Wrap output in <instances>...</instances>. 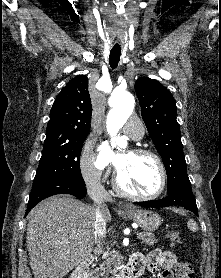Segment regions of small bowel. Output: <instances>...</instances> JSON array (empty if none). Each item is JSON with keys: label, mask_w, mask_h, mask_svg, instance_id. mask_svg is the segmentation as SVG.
Instances as JSON below:
<instances>
[{"label": "small bowel", "mask_w": 221, "mask_h": 278, "mask_svg": "<svg viewBox=\"0 0 221 278\" xmlns=\"http://www.w3.org/2000/svg\"><path fill=\"white\" fill-rule=\"evenodd\" d=\"M134 260L141 270L147 268L152 273L151 278H155V274L158 278H174L173 270H176L178 275L181 265H189L179 262L173 252L161 250H153L146 257L138 255L134 257Z\"/></svg>", "instance_id": "small-bowel-1"}]
</instances>
